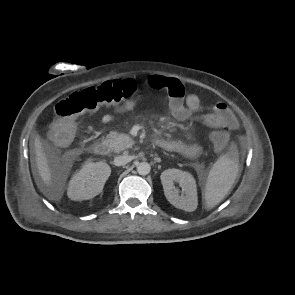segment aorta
<instances>
[{
    "mask_svg": "<svg viewBox=\"0 0 295 295\" xmlns=\"http://www.w3.org/2000/svg\"><path fill=\"white\" fill-rule=\"evenodd\" d=\"M151 170V166L147 162H141L137 165V172L139 175H147Z\"/></svg>",
    "mask_w": 295,
    "mask_h": 295,
    "instance_id": "aorta-1",
    "label": "aorta"
}]
</instances>
